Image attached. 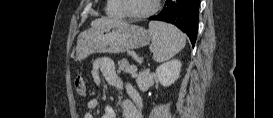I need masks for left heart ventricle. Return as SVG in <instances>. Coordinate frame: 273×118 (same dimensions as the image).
Segmentation results:
<instances>
[{"label":"left heart ventricle","instance_id":"b2bd125f","mask_svg":"<svg viewBox=\"0 0 273 118\" xmlns=\"http://www.w3.org/2000/svg\"><path fill=\"white\" fill-rule=\"evenodd\" d=\"M154 0H127L128 9L132 12H143L152 7Z\"/></svg>","mask_w":273,"mask_h":118}]
</instances>
